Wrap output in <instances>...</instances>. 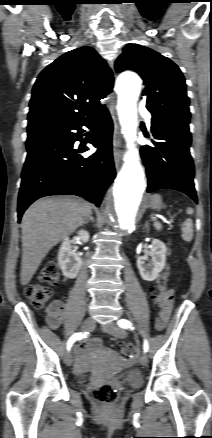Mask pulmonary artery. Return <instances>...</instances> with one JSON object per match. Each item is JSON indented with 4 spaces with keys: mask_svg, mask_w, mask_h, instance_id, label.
<instances>
[{
    "mask_svg": "<svg viewBox=\"0 0 212 438\" xmlns=\"http://www.w3.org/2000/svg\"><path fill=\"white\" fill-rule=\"evenodd\" d=\"M139 112L145 117L147 122H150L151 120V114L150 112L147 110V108L145 107L144 104L139 106Z\"/></svg>",
    "mask_w": 212,
    "mask_h": 438,
    "instance_id": "pulmonary-artery-1",
    "label": "pulmonary artery"
}]
</instances>
